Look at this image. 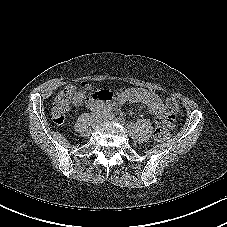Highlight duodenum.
I'll list each match as a JSON object with an SVG mask.
<instances>
[{"label":"duodenum","instance_id":"duodenum-1","mask_svg":"<svg viewBox=\"0 0 227 227\" xmlns=\"http://www.w3.org/2000/svg\"><path fill=\"white\" fill-rule=\"evenodd\" d=\"M117 101L116 94L111 90L96 92L89 102L91 108L95 111H102L113 106Z\"/></svg>","mask_w":227,"mask_h":227}]
</instances>
